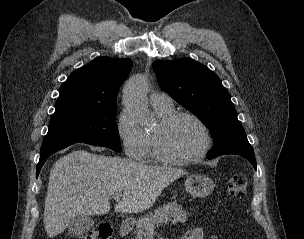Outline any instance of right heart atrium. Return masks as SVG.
<instances>
[{
	"instance_id": "right-heart-atrium-1",
	"label": "right heart atrium",
	"mask_w": 304,
	"mask_h": 239,
	"mask_svg": "<svg viewBox=\"0 0 304 239\" xmlns=\"http://www.w3.org/2000/svg\"><path fill=\"white\" fill-rule=\"evenodd\" d=\"M117 133L128 157L140 161L148 157L150 142L147 133L136 123L126 108L119 113Z\"/></svg>"
}]
</instances>
